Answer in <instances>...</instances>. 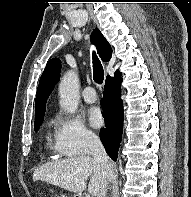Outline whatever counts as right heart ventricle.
<instances>
[{"label":"right heart ventricle","mask_w":191,"mask_h":197,"mask_svg":"<svg viewBox=\"0 0 191 197\" xmlns=\"http://www.w3.org/2000/svg\"><path fill=\"white\" fill-rule=\"evenodd\" d=\"M48 145H49V147H50L51 149H53V151H55V152H56V150H55V146H53L51 142H49V143H48Z\"/></svg>","instance_id":"right-heart-ventricle-1"}]
</instances>
